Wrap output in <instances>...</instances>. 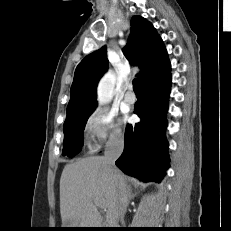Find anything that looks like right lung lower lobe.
I'll return each instance as SVG.
<instances>
[{
    "label": "right lung lower lobe",
    "mask_w": 231,
    "mask_h": 231,
    "mask_svg": "<svg viewBox=\"0 0 231 231\" xmlns=\"http://www.w3.org/2000/svg\"><path fill=\"white\" fill-rule=\"evenodd\" d=\"M170 86V71L141 86L142 97L134 110L141 120L126 127L124 151L115 162L125 174L145 182L159 183L168 168L164 131Z\"/></svg>",
    "instance_id": "98d812e1"
}]
</instances>
